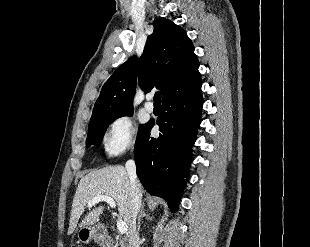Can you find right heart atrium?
<instances>
[{
    "mask_svg": "<svg viewBox=\"0 0 310 247\" xmlns=\"http://www.w3.org/2000/svg\"><path fill=\"white\" fill-rule=\"evenodd\" d=\"M136 126L129 116L116 118L109 125L103 140L108 156H118L131 149L135 142Z\"/></svg>",
    "mask_w": 310,
    "mask_h": 247,
    "instance_id": "1",
    "label": "right heart atrium"
}]
</instances>
